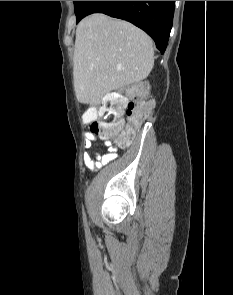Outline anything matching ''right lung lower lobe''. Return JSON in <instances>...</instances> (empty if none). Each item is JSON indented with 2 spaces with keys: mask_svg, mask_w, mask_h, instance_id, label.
<instances>
[{
  "mask_svg": "<svg viewBox=\"0 0 233 295\" xmlns=\"http://www.w3.org/2000/svg\"><path fill=\"white\" fill-rule=\"evenodd\" d=\"M174 8L175 1H88L81 19L100 12L127 20L148 33L163 54L172 28Z\"/></svg>",
  "mask_w": 233,
  "mask_h": 295,
  "instance_id": "obj_1",
  "label": "right lung lower lobe"
}]
</instances>
